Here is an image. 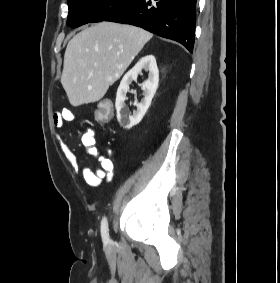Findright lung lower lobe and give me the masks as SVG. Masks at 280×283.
<instances>
[{
    "mask_svg": "<svg viewBox=\"0 0 280 283\" xmlns=\"http://www.w3.org/2000/svg\"><path fill=\"white\" fill-rule=\"evenodd\" d=\"M197 0H132L104 21L144 28L175 40L190 52L194 47Z\"/></svg>",
    "mask_w": 280,
    "mask_h": 283,
    "instance_id": "98d812e1",
    "label": "right lung lower lobe"
}]
</instances>
